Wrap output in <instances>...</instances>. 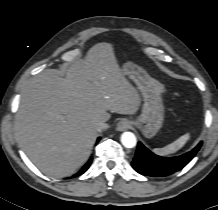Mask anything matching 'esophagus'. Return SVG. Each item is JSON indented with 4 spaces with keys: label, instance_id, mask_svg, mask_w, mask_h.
<instances>
[{
    "label": "esophagus",
    "instance_id": "esophagus-1",
    "mask_svg": "<svg viewBox=\"0 0 218 210\" xmlns=\"http://www.w3.org/2000/svg\"><path fill=\"white\" fill-rule=\"evenodd\" d=\"M131 128V123L127 119H122L117 124L118 131H125Z\"/></svg>",
    "mask_w": 218,
    "mask_h": 210
}]
</instances>
